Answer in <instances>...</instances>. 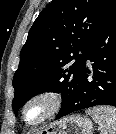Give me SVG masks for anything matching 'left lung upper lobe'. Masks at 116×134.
<instances>
[{
  "label": "left lung upper lobe",
  "instance_id": "1",
  "mask_svg": "<svg viewBox=\"0 0 116 134\" xmlns=\"http://www.w3.org/2000/svg\"><path fill=\"white\" fill-rule=\"evenodd\" d=\"M114 4V0H52L41 11L13 77L16 116L37 94L61 93L62 105L75 96L88 45Z\"/></svg>",
  "mask_w": 116,
  "mask_h": 134
}]
</instances>
